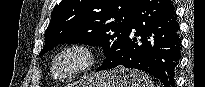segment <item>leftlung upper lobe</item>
Segmentation results:
<instances>
[{"label": "left lung upper lobe", "instance_id": "1", "mask_svg": "<svg viewBox=\"0 0 205 87\" xmlns=\"http://www.w3.org/2000/svg\"><path fill=\"white\" fill-rule=\"evenodd\" d=\"M138 0H62L55 6L45 31L40 55L58 44L103 47L106 64L116 57L126 38ZM101 65V66H102Z\"/></svg>", "mask_w": 205, "mask_h": 87}]
</instances>
